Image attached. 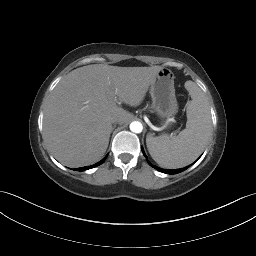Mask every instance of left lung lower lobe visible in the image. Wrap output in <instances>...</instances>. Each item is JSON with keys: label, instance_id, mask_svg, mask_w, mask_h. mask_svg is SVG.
Wrapping results in <instances>:
<instances>
[{"label": "left lung lower lobe", "instance_id": "obj_1", "mask_svg": "<svg viewBox=\"0 0 256 256\" xmlns=\"http://www.w3.org/2000/svg\"><path fill=\"white\" fill-rule=\"evenodd\" d=\"M142 152H143V154L145 155V153H144L143 150H142ZM145 157H146V155H145ZM148 163H149L153 168L157 169L158 171L163 172V173H167V174H177V173H180V172L186 170V169L189 167V166H187V167L181 168V169H172V170H170V169H161V168H159V167H156V166L152 165L150 162H148Z\"/></svg>", "mask_w": 256, "mask_h": 256}]
</instances>
